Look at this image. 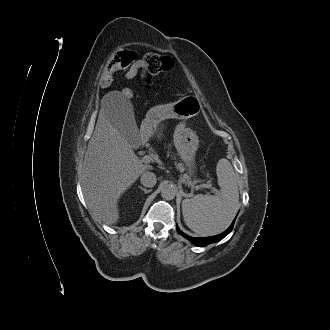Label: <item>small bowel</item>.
I'll use <instances>...</instances> for the list:
<instances>
[{
  "mask_svg": "<svg viewBox=\"0 0 330 330\" xmlns=\"http://www.w3.org/2000/svg\"><path fill=\"white\" fill-rule=\"evenodd\" d=\"M145 71L146 67L144 61L141 59H136L132 65L125 70L124 76L126 79H133L138 73H141V75L144 76ZM103 84L107 85L108 83L103 82Z\"/></svg>",
  "mask_w": 330,
  "mask_h": 330,
  "instance_id": "1",
  "label": "small bowel"
}]
</instances>
